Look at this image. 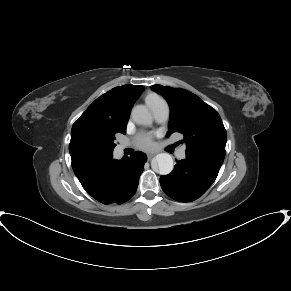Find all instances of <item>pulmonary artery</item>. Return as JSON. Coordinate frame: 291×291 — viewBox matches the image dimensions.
Wrapping results in <instances>:
<instances>
[{
    "instance_id": "e3ab8cb5",
    "label": "pulmonary artery",
    "mask_w": 291,
    "mask_h": 291,
    "mask_svg": "<svg viewBox=\"0 0 291 291\" xmlns=\"http://www.w3.org/2000/svg\"><path fill=\"white\" fill-rule=\"evenodd\" d=\"M150 109L154 115V118L157 122L163 123L167 120L169 116V106L168 103L163 99H159L156 102H154L151 106ZM127 147L126 144H121L117 147V152L121 153L125 148ZM176 156L179 159H182L185 156V147L180 148Z\"/></svg>"
}]
</instances>
